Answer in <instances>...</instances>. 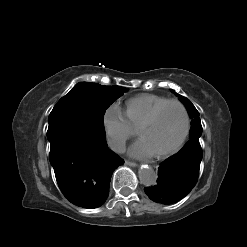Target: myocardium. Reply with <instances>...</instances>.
Returning <instances> with one entry per match:
<instances>
[{"mask_svg": "<svg viewBox=\"0 0 247 247\" xmlns=\"http://www.w3.org/2000/svg\"><path fill=\"white\" fill-rule=\"evenodd\" d=\"M170 105H177L182 113H183V117H184V129L183 132L179 138V140L169 149L159 152V153H155V156L157 158H165L168 157L172 154H174L175 152H177L182 145L184 144V142L186 141L189 131H190V117H189V113L188 110L186 108V106L178 101V100H168L162 104H160L159 106H157L152 113L139 125V127L137 128V134L139 135L140 131L150 125H152L155 120L157 119V117L159 116V114L167 107Z\"/></svg>", "mask_w": 247, "mask_h": 247, "instance_id": "f54148a6", "label": "myocardium"}]
</instances>
